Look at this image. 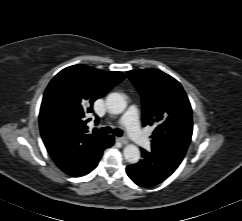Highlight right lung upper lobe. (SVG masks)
<instances>
[{
	"mask_svg": "<svg viewBox=\"0 0 242 221\" xmlns=\"http://www.w3.org/2000/svg\"><path fill=\"white\" fill-rule=\"evenodd\" d=\"M125 78L122 72H105L86 65L60 71L49 83L40 108V132L58 167L79 168L85 150L97 145L103 134L88 133L85 114L93 102Z\"/></svg>",
	"mask_w": 242,
	"mask_h": 221,
	"instance_id": "obj_1",
	"label": "right lung upper lobe"
}]
</instances>
